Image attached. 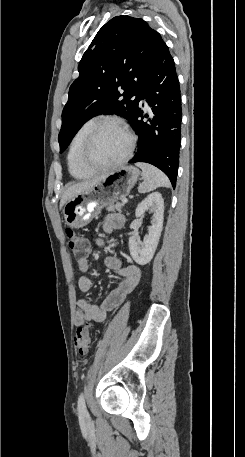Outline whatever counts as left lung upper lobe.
<instances>
[{"instance_id":"obj_1","label":"left lung upper lobe","mask_w":245,"mask_h":457,"mask_svg":"<svg viewBox=\"0 0 245 457\" xmlns=\"http://www.w3.org/2000/svg\"><path fill=\"white\" fill-rule=\"evenodd\" d=\"M160 34L140 18L116 16L101 27L84 53L62 112L60 153L81 126L100 114L131 121L139 90ZM122 88L123 93L118 89ZM123 97V99H122Z\"/></svg>"}]
</instances>
